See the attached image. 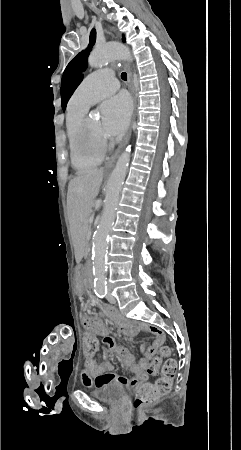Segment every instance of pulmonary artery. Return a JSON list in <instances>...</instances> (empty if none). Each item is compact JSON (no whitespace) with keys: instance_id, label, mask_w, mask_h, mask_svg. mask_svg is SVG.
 <instances>
[{"instance_id":"e3ab8cb5","label":"pulmonary artery","mask_w":241,"mask_h":450,"mask_svg":"<svg viewBox=\"0 0 241 450\" xmlns=\"http://www.w3.org/2000/svg\"><path fill=\"white\" fill-rule=\"evenodd\" d=\"M113 75L114 72L111 69L93 71L83 80V86L75 91L72 101L91 106L110 97L119 85L117 78H111Z\"/></svg>"}]
</instances>
